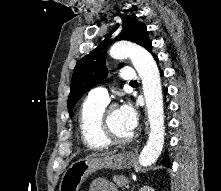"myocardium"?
Listing matches in <instances>:
<instances>
[{
  "mask_svg": "<svg viewBox=\"0 0 221 191\" xmlns=\"http://www.w3.org/2000/svg\"><path fill=\"white\" fill-rule=\"evenodd\" d=\"M115 110H117L116 104H111L108 107H106L104 110L103 117H102L104 135L111 144H118V145L127 144L133 140L134 134H131L127 137H122V136H119L112 129L111 124H110V116L112 112Z\"/></svg>",
  "mask_w": 221,
  "mask_h": 191,
  "instance_id": "myocardium-1",
  "label": "myocardium"
}]
</instances>
